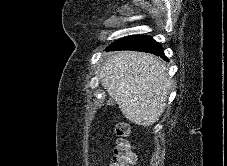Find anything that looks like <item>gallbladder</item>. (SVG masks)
I'll use <instances>...</instances> for the list:
<instances>
[{
    "instance_id": "obj_1",
    "label": "gallbladder",
    "mask_w": 227,
    "mask_h": 166,
    "mask_svg": "<svg viewBox=\"0 0 227 166\" xmlns=\"http://www.w3.org/2000/svg\"><path fill=\"white\" fill-rule=\"evenodd\" d=\"M113 103H114L113 100H109V101H108V104H109V105H113Z\"/></svg>"
}]
</instances>
